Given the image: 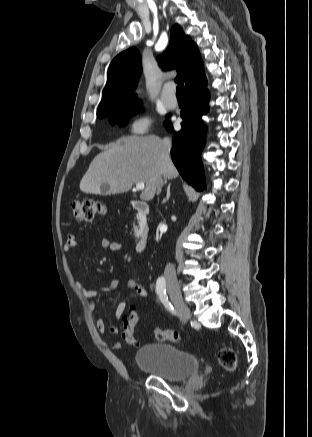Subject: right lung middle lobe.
Listing matches in <instances>:
<instances>
[{"label": "right lung middle lobe", "instance_id": "obj_1", "mask_svg": "<svg viewBox=\"0 0 312 437\" xmlns=\"http://www.w3.org/2000/svg\"><path fill=\"white\" fill-rule=\"evenodd\" d=\"M139 104V103H138ZM138 104H126L123 105L108 115L99 116L100 118L109 116V121L112 125L118 124L119 126H124L127 124L129 118L136 112L138 109Z\"/></svg>", "mask_w": 312, "mask_h": 437}]
</instances>
